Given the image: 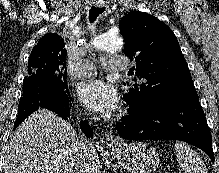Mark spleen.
<instances>
[{
  "label": "spleen",
  "instance_id": "spleen-1",
  "mask_svg": "<svg viewBox=\"0 0 219 173\" xmlns=\"http://www.w3.org/2000/svg\"><path fill=\"white\" fill-rule=\"evenodd\" d=\"M175 154L179 167L184 173H208L198 154L185 143L175 144Z\"/></svg>",
  "mask_w": 219,
  "mask_h": 173
}]
</instances>
